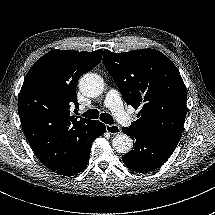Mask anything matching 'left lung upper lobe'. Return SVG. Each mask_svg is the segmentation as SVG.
<instances>
[{"label":"left lung upper lobe","instance_id":"left-lung-upper-lobe-1","mask_svg":"<svg viewBox=\"0 0 215 215\" xmlns=\"http://www.w3.org/2000/svg\"><path fill=\"white\" fill-rule=\"evenodd\" d=\"M103 62L124 101L140 109L131 130L181 135L187 92L179 71L164 54L154 49L118 54L105 50Z\"/></svg>","mask_w":215,"mask_h":215}]
</instances>
